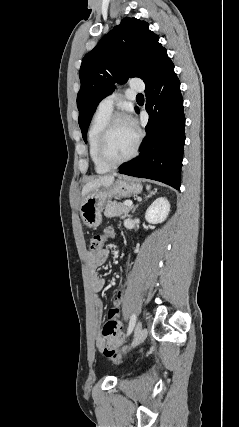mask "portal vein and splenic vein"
Here are the masks:
<instances>
[{
    "instance_id": "portal-vein-and-splenic-vein-1",
    "label": "portal vein and splenic vein",
    "mask_w": 239,
    "mask_h": 427,
    "mask_svg": "<svg viewBox=\"0 0 239 427\" xmlns=\"http://www.w3.org/2000/svg\"><path fill=\"white\" fill-rule=\"evenodd\" d=\"M124 205H125V206H130V207H131V206L133 205V202H132V201H130V200H128V201H125V202H124Z\"/></svg>"
}]
</instances>
